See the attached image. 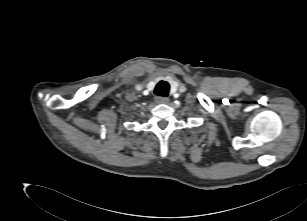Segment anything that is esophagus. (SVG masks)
<instances>
[{"instance_id": "obj_1", "label": "esophagus", "mask_w": 307, "mask_h": 221, "mask_svg": "<svg viewBox=\"0 0 307 221\" xmlns=\"http://www.w3.org/2000/svg\"><path fill=\"white\" fill-rule=\"evenodd\" d=\"M155 102L157 104H167L169 102V98L159 96L155 98Z\"/></svg>"}]
</instances>
